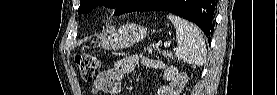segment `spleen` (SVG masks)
<instances>
[{
	"label": "spleen",
	"mask_w": 277,
	"mask_h": 95,
	"mask_svg": "<svg viewBox=\"0 0 277 95\" xmlns=\"http://www.w3.org/2000/svg\"><path fill=\"white\" fill-rule=\"evenodd\" d=\"M167 18L176 29V58L185 63L203 65L206 61V46L197 26L172 14Z\"/></svg>",
	"instance_id": "obj_1"
}]
</instances>
